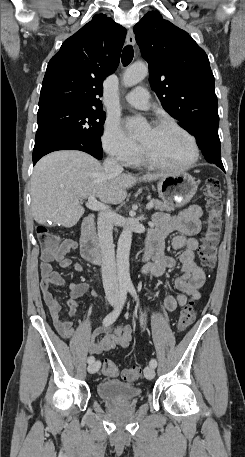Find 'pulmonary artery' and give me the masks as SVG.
<instances>
[{
  "instance_id": "1",
  "label": "pulmonary artery",
  "mask_w": 245,
  "mask_h": 457,
  "mask_svg": "<svg viewBox=\"0 0 245 457\" xmlns=\"http://www.w3.org/2000/svg\"><path fill=\"white\" fill-rule=\"evenodd\" d=\"M150 98L148 86H135L132 93L123 96L125 102L142 109L149 107Z\"/></svg>"
}]
</instances>
